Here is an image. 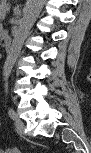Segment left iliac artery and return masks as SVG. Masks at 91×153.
Returning a JSON list of instances; mask_svg holds the SVG:
<instances>
[{
    "label": "left iliac artery",
    "instance_id": "44dca946",
    "mask_svg": "<svg viewBox=\"0 0 91 153\" xmlns=\"http://www.w3.org/2000/svg\"><path fill=\"white\" fill-rule=\"evenodd\" d=\"M8 114H9V116H10L12 119H15V118H16V113H15V111H14L12 108H9V109H8Z\"/></svg>",
    "mask_w": 91,
    "mask_h": 153
}]
</instances>
